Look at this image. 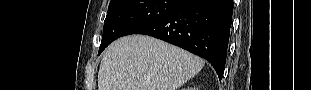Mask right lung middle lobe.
I'll list each match as a JSON object with an SVG mask.
<instances>
[{
    "mask_svg": "<svg viewBox=\"0 0 311 90\" xmlns=\"http://www.w3.org/2000/svg\"><path fill=\"white\" fill-rule=\"evenodd\" d=\"M182 0H111L98 55L115 39L157 22Z\"/></svg>",
    "mask_w": 311,
    "mask_h": 90,
    "instance_id": "1",
    "label": "right lung middle lobe"
}]
</instances>
